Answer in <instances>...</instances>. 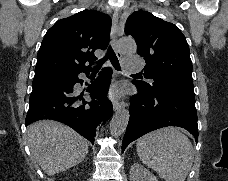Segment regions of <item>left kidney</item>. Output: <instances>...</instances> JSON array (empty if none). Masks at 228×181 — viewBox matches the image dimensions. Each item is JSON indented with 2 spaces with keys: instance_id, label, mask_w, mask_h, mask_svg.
<instances>
[{
  "instance_id": "left-kidney-1",
  "label": "left kidney",
  "mask_w": 228,
  "mask_h": 181,
  "mask_svg": "<svg viewBox=\"0 0 228 181\" xmlns=\"http://www.w3.org/2000/svg\"><path fill=\"white\" fill-rule=\"evenodd\" d=\"M130 181H157L155 175L147 171L143 165L134 163L130 169Z\"/></svg>"
}]
</instances>
